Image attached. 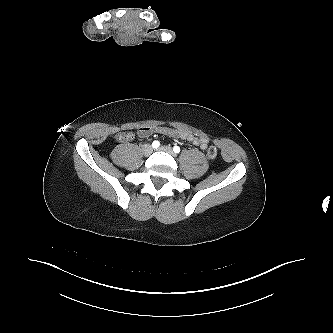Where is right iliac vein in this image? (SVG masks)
<instances>
[{
    "mask_svg": "<svg viewBox=\"0 0 333 333\" xmlns=\"http://www.w3.org/2000/svg\"><path fill=\"white\" fill-rule=\"evenodd\" d=\"M153 151V148L150 144H145L142 146V152L144 156H149Z\"/></svg>",
    "mask_w": 333,
    "mask_h": 333,
    "instance_id": "1",
    "label": "right iliac vein"
}]
</instances>
